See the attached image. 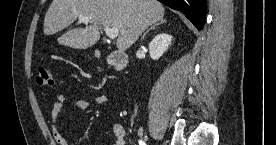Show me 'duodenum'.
I'll list each match as a JSON object with an SVG mask.
<instances>
[{
  "label": "duodenum",
  "instance_id": "obj_1",
  "mask_svg": "<svg viewBox=\"0 0 276 145\" xmlns=\"http://www.w3.org/2000/svg\"><path fill=\"white\" fill-rule=\"evenodd\" d=\"M107 62L115 69L122 70L127 64V55L123 51L115 50L106 57Z\"/></svg>",
  "mask_w": 276,
  "mask_h": 145
}]
</instances>
